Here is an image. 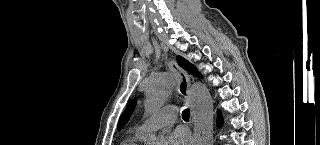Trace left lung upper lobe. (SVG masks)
<instances>
[{"instance_id":"5c2ea615","label":"left lung upper lobe","mask_w":320,"mask_h":145,"mask_svg":"<svg viewBox=\"0 0 320 145\" xmlns=\"http://www.w3.org/2000/svg\"><path fill=\"white\" fill-rule=\"evenodd\" d=\"M177 61L181 67H183L185 70H187L192 75L197 76V74H198L197 68L194 65L190 64L188 61H186L184 58H182L180 56L177 57ZM135 105H136V102H133L126 107L125 111L123 112L122 116L120 117V120L118 123V129L122 128L127 123L132 112L134 111Z\"/></svg>"}]
</instances>
